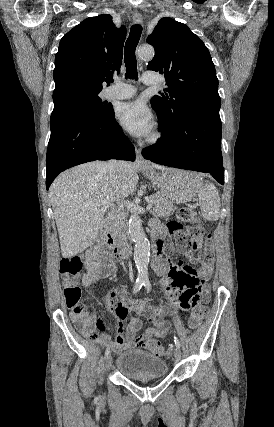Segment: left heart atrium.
Returning a JSON list of instances; mask_svg holds the SVG:
<instances>
[{
	"label": "left heart atrium",
	"mask_w": 274,
	"mask_h": 427,
	"mask_svg": "<svg viewBox=\"0 0 274 427\" xmlns=\"http://www.w3.org/2000/svg\"><path fill=\"white\" fill-rule=\"evenodd\" d=\"M121 125L134 136H148L153 129L152 114L141 101L121 103L115 111Z\"/></svg>",
	"instance_id": "left-heart-atrium-1"
}]
</instances>
